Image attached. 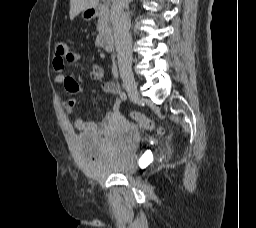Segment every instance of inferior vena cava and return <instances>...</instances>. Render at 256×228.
Instances as JSON below:
<instances>
[{
	"label": "inferior vena cava",
	"mask_w": 256,
	"mask_h": 228,
	"mask_svg": "<svg viewBox=\"0 0 256 228\" xmlns=\"http://www.w3.org/2000/svg\"><path fill=\"white\" fill-rule=\"evenodd\" d=\"M131 0H114L111 7L113 36L117 51L118 67L121 76L131 73L132 66V38L130 25L124 20V9Z\"/></svg>",
	"instance_id": "obj_1"
}]
</instances>
